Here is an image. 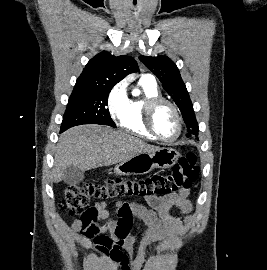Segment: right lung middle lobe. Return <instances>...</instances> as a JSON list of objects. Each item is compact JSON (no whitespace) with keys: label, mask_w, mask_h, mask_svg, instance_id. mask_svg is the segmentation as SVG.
Here are the masks:
<instances>
[{"label":"right lung middle lobe","mask_w":267,"mask_h":270,"mask_svg":"<svg viewBox=\"0 0 267 270\" xmlns=\"http://www.w3.org/2000/svg\"><path fill=\"white\" fill-rule=\"evenodd\" d=\"M111 89L106 86L74 87L63 116L61 132L81 124L115 127L106 107Z\"/></svg>","instance_id":"obj_1"}]
</instances>
